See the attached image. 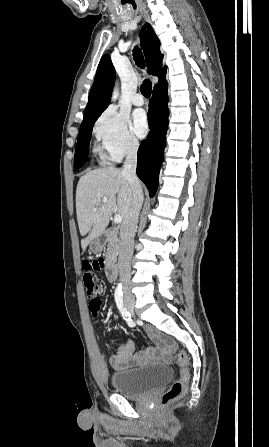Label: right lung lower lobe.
<instances>
[{"label":"right lung lower lobe","instance_id":"obj_1","mask_svg":"<svg viewBox=\"0 0 269 447\" xmlns=\"http://www.w3.org/2000/svg\"><path fill=\"white\" fill-rule=\"evenodd\" d=\"M159 84L154 86L149 103L150 132L139 147L137 160V175L147 186L150 197L156 193L168 129L166 74L160 77Z\"/></svg>","mask_w":269,"mask_h":447}]
</instances>
